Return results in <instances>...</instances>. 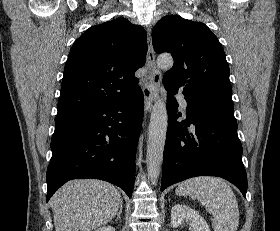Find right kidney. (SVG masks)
<instances>
[{
  "label": "right kidney",
  "instance_id": "obj_1",
  "mask_svg": "<svg viewBox=\"0 0 280 231\" xmlns=\"http://www.w3.org/2000/svg\"><path fill=\"white\" fill-rule=\"evenodd\" d=\"M95 231H115V227H112V225H103V227H98Z\"/></svg>",
  "mask_w": 280,
  "mask_h": 231
}]
</instances>
